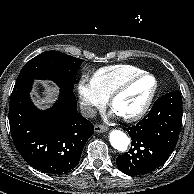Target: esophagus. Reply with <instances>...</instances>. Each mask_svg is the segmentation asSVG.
<instances>
[{"label": "esophagus", "instance_id": "esophagus-1", "mask_svg": "<svg viewBox=\"0 0 194 194\" xmlns=\"http://www.w3.org/2000/svg\"><path fill=\"white\" fill-rule=\"evenodd\" d=\"M94 129H95V132L102 133V132L107 131L108 127L104 125H95Z\"/></svg>", "mask_w": 194, "mask_h": 194}]
</instances>
